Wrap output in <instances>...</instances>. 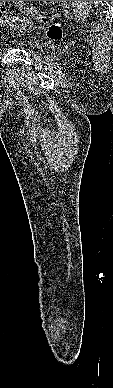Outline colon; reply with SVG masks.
Wrapping results in <instances>:
<instances>
[{"label":"colon","mask_w":113,"mask_h":388,"mask_svg":"<svg viewBox=\"0 0 113 388\" xmlns=\"http://www.w3.org/2000/svg\"><path fill=\"white\" fill-rule=\"evenodd\" d=\"M36 19L40 21H46L47 18L43 14H32ZM21 19L16 15L6 14L1 7L0 3V25L5 27H13L17 25ZM47 35L52 40H60L63 37V29L59 23H53L48 27Z\"/></svg>","instance_id":"1"}]
</instances>
